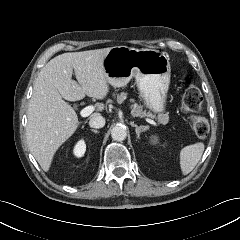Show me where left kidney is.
<instances>
[{
  "label": "left kidney",
  "mask_w": 240,
  "mask_h": 240,
  "mask_svg": "<svg viewBox=\"0 0 240 240\" xmlns=\"http://www.w3.org/2000/svg\"><path fill=\"white\" fill-rule=\"evenodd\" d=\"M150 141L153 145H155V144L158 143V137L157 136H152Z\"/></svg>",
  "instance_id": "left-kidney-1"
}]
</instances>
